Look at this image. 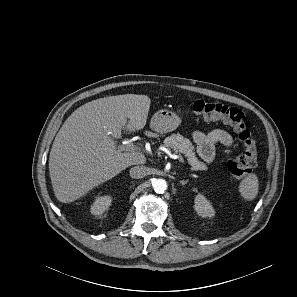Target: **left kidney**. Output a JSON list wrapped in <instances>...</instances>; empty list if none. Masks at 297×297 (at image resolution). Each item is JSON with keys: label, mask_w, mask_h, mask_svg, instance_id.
I'll return each mask as SVG.
<instances>
[{"label": "left kidney", "mask_w": 297, "mask_h": 297, "mask_svg": "<svg viewBox=\"0 0 297 297\" xmlns=\"http://www.w3.org/2000/svg\"><path fill=\"white\" fill-rule=\"evenodd\" d=\"M194 209L197 214L201 217H209L212 218L215 215V210L211 203L206 199V197L202 194H198L194 200Z\"/></svg>", "instance_id": "left-kidney-1"}]
</instances>
